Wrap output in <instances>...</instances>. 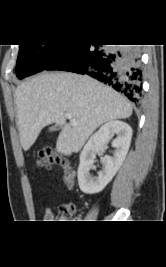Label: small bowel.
Instances as JSON below:
<instances>
[{
    "mask_svg": "<svg viewBox=\"0 0 166 267\" xmlns=\"http://www.w3.org/2000/svg\"><path fill=\"white\" fill-rule=\"evenodd\" d=\"M68 186H73V182L69 183ZM44 222H53L55 220V215L50 208H47L43 216Z\"/></svg>",
    "mask_w": 166,
    "mask_h": 267,
    "instance_id": "1",
    "label": "small bowel"
}]
</instances>
